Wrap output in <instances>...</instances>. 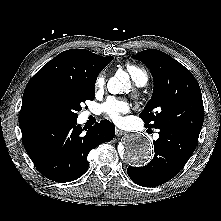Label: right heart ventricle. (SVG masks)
<instances>
[{
  "label": "right heart ventricle",
  "instance_id": "1",
  "mask_svg": "<svg viewBox=\"0 0 221 221\" xmlns=\"http://www.w3.org/2000/svg\"><path fill=\"white\" fill-rule=\"evenodd\" d=\"M125 67L126 71L137 85L143 86L147 83L148 75L143 68L131 63L126 64Z\"/></svg>",
  "mask_w": 221,
  "mask_h": 221
}]
</instances>
